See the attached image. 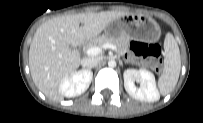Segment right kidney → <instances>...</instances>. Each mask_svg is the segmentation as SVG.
<instances>
[{
    "label": "right kidney",
    "mask_w": 203,
    "mask_h": 123,
    "mask_svg": "<svg viewBox=\"0 0 203 123\" xmlns=\"http://www.w3.org/2000/svg\"><path fill=\"white\" fill-rule=\"evenodd\" d=\"M92 77L93 73L90 70H79L63 79L59 90L67 98L79 96L89 88Z\"/></svg>",
    "instance_id": "obj_1"
}]
</instances>
